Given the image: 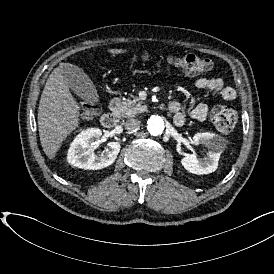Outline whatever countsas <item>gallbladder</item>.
Segmentation results:
<instances>
[{"instance_id": "obj_1", "label": "gallbladder", "mask_w": 274, "mask_h": 274, "mask_svg": "<svg viewBox=\"0 0 274 274\" xmlns=\"http://www.w3.org/2000/svg\"><path fill=\"white\" fill-rule=\"evenodd\" d=\"M63 76L68 87L84 101L91 102L96 98V84L83 70L79 71L76 66L69 65L64 69Z\"/></svg>"}]
</instances>
